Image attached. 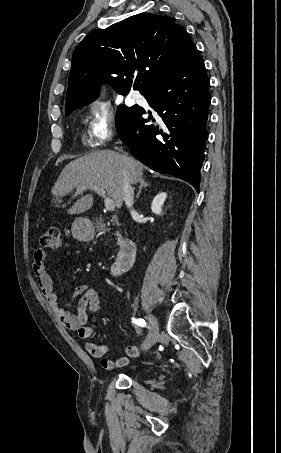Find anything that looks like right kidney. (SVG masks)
Returning <instances> with one entry per match:
<instances>
[{
  "label": "right kidney",
  "mask_w": 281,
  "mask_h": 453,
  "mask_svg": "<svg viewBox=\"0 0 281 453\" xmlns=\"http://www.w3.org/2000/svg\"><path fill=\"white\" fill-rule=\"evenodd\" d=\"M166 196H167L166 192H159V194H156V196H154L151 202L152 212H155V214H161L162 206L164 204Z\"/></svg>",
  "instance_id": "obj_1"
}]
</instances>
